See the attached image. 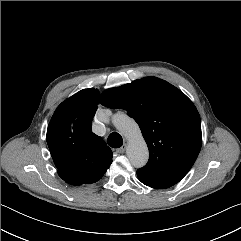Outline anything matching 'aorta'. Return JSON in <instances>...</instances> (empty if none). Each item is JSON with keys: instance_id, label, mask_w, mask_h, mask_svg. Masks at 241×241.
I'll return each instance as SVG.
<instances>
[{"instance_id": "1", "label": "aorta", "mask_w": 241, "mask_h": 241, "mask_svg": "<svg viewBox=\"0 0 241 241\" xmlns=\"http://www.w3.org/2000/svg\"><path fill=\"white\" fill-rule=\"evenodd\" d=\"M112 123L128 140L126 153L131 164L136 168L143 167L149 151L138 124L125 114L115 115Z\"/></svg>"}]
</instances>
